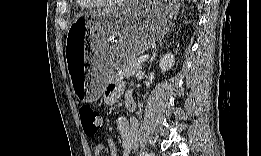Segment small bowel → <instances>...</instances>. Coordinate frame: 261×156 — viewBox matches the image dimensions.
I'll list each match as a JSON object with an SVG mask.
<instances>
[{
	"mask_svg": "<svg viewBox=\"0 0 261 156\" xmlns=\"http://www.w3.org/2000/svg\"><path fill=\"white\" fill-rule=\"evenodd\" d=\"M123 90L121 84L111 83L108 84L104 91L105 102L109 105H112L116 102L118 94ZM126 106L132 111L135 108L134 102L130 96H126ZM118 130L121 135V149L122 156H129L132 150L137 146L138 142V121L136 118L126 119L124 117L118 118L117 121ZM109 152L111 156H117V148L115 143L112 140H108ZM105 154V147L103 144H96L94 146L93 155L102 156Z\"/></svg>",
	"mask_w": 261,
	"mask_h": 156,
	"instance_id": "obj_1",
	"label": "small bowel"
}]
</instances>
